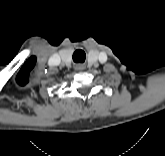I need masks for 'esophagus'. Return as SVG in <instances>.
Here are the masks:
<instances>
[{"instance_id":"esophagus-1","label":"esophagus","mask_w":165,"mask_h":156,"mask_svg":"<svg viewBox=\"0 0 165 156\" xmlns=\"http://www.w3.org/2000/svg\"><path fill=\"white\" fill-rule=\"evenodd\" d=\"M76 69H77V70H83V69H84V66H83L82 64H78V65L76 66Z\"/></svg>"}]
</instances>
